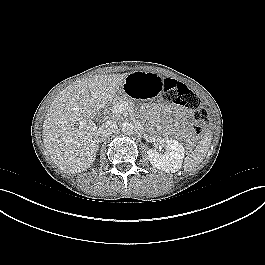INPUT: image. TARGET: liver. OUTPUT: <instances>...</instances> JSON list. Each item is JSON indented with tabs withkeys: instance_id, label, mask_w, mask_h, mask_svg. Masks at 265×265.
<instances>
[{
	"instance_id": "6515ba94",
	"label": "liver",
	"mask_w": 265,
	"mask_h": 265,
	"mask_svg": "<svg viewBox=\"0 0 265 265\" xmlns=\"http://www.w3.org/2000/svg\"><path fill=\"white\" fill-rule=\"evenodd\" d=\"M128 73L94 76L68 85L53 100L43 123V143L66 173L86 171L98 152V130L90 120L107 107Z\"/></svg>"
}]
</instances>
